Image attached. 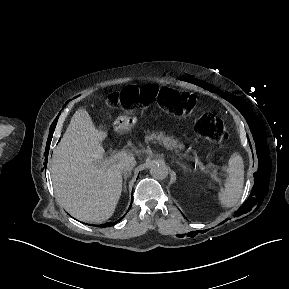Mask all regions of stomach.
I'll return each instance as SVG.
<instances>
[{"instance_id": "stomach-1", "label": "stomach", "mask_w": 289, "mask_h": 289, "mask_svg": "<svg viewBox=\"0 0 289 289\" xmlns=\"http://www.w3.org/2000/svg\"><path fill=\"white\" fill-rule=\"evenodd\" d=\"M135 123V115L132 111L124 112L114 123L117 131H128Z\"/></svg>"}]
</instances>
